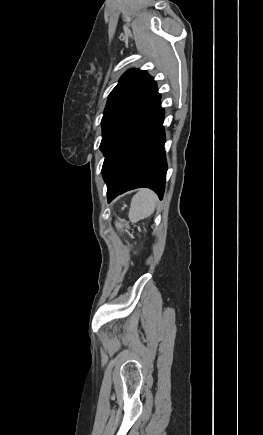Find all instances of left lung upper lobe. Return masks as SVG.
<instances>
[{
    "label": "left lung upper lobe",
    "mask_w": 263,
    "mask_h": 435,
    "mask_svg": "<svg viewBox=\"0 0 263 435\" xmlns=\"http://www.w3.org/2000/svg\"><path fill=\"white\" fill-rule=\"evenodd\" d=\"M159 95L156 82L146 71L132 69L120 78L108 97L101 121L100 149L105 156L124 129Z\"/></svg>",
    "instance_id": "1"
}]
</instances>
